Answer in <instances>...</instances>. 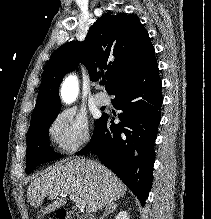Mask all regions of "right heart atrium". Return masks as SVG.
Listing matches in <instances>:
<instances>
[{
    "mask_svg": "<svg viewBox=\"0 0 211 219\" xmlns=\"http://www.w3.org/2000/svg\"><path fill=\"white\" fill-rule=\"evenodd\" d=\"M47 133L52 144L66 154L75 153L91 140L86 117L73 110L59 111L51 120Z\"/></svg>",
    "mask_w": 211,
    "mask_h": 219,
    "instance_id": "right-heart-atrium-1",
    "label": "right heart atrium"
}]
</instances>
